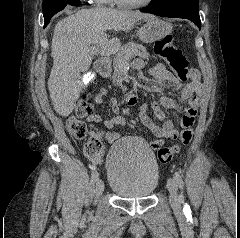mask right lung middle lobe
Returning <instances> with one entry per match:
<instances>
[{"mask_svg":"<svg viewBox=\"0 0 240 238\" xmlns=\"http://www.w3.org/2000/svg\"><path fill=\"white\" fill-rule=\"evenodd\" d=\"M79 0H43L44 27L47 26L51 17L63 10L66 5H76Z\"/></svg>","mask_w":240,"mask_h":238,"instance_id":"obj_1","label":"right lung middle lobe"}]
</instances>
